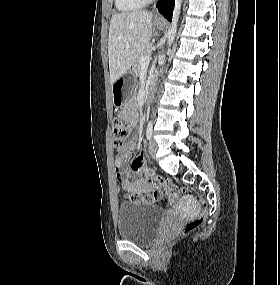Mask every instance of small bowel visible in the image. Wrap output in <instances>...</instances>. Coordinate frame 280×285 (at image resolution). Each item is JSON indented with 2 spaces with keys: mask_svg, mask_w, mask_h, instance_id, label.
Returning a JSON list of instances; mask_svg holds the SVG:
<instances>
[{
  "mask_svg": "<svg viewBox=\"0 0 280 285\" xmlns=\"http://www.w3.org/2000/svg\"><path fill=\"white\" fill-rule=\"evenodd\" d=\"M121 116H127L126 112H122ZM136 147V142L132 140L129 141L123 149H121L120 155L115 160L116 177L126 195H151L153 193L154 185L145 176V171L148 169L146 166L145 154L142 153L138 155L131 161L130 165L126 167L130 153L134 151ZM129 174H139L140 176L136 179H130L128 177Z\"/></svg>",
  "mask_w": 280,
  "mask_h": 285,
  "instance_id": "c3829d8e",
  "label": "small bowel"
}]
</instances>
